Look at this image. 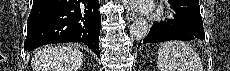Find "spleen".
Instances as JSON below:
<instances>
[{
	"label": "spleen",
	"instance_id": "1",
	"mask_svg": "<svg viewBox=\"0 0 230 71\" xmlns=\"http://www.w3.org/2000/svg\"><path fill=\"white\" fill-rule=\"evenodd\" d=\"M160 71H203L198 54L185 42L168 41L158 48Z\"/></svg>",
	"mask_w": 230,
	"mask_h": 71
}]
</instances>
